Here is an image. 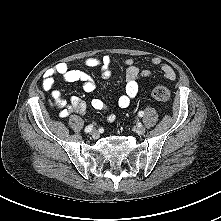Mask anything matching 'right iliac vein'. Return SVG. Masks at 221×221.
<instances>
[{
  "label": "right iliac vein",
  "mask_w": 221,
  "mask_h": 221,
  "mask_svg": "<svg viewBox=\"0 0 221 221\" xmlns=\"http://www.w3.org/2000/svg\"><path fill=\"white\" fill-rule=\"evenodd\" d=\"M90 134H91L93 137H97V136H98V132H97L96 129H92V130L90 131Z\"/></svg>",
  "instance_id": "1"
}]
</instances>
